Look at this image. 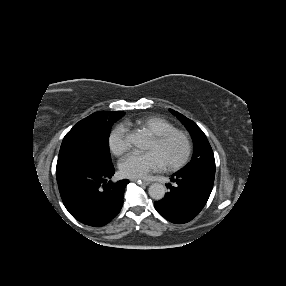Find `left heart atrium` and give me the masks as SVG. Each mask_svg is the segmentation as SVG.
Instances as JSON below:
<instances>
[{"instance_id":"left-heart-atrium-1","label":"left heart atrium","mask_w":286,"mask_h":286,"mask_svg":"<svg viewBox=\"0 0 286 286\" xmlns=\"http://www.w3.org/2000/svg\"><path fill=\"white\" fill-rule=\"evenodd\" d=\"M120 170L129 178H147L151 173L159 171L163 165L152 151L133 152L120 162Z\"/></svg>"}]
</instances>
